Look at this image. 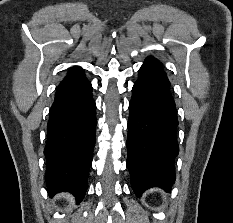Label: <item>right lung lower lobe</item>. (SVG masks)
<instances>
[{"label":"right lung lower lobe","instance_id":"98d812e1","mask_svg":"<svg viewBox=\"0 0 233 223\" xmlns=\"http://www.w3.org/2000/svg\"><path fill=\"white\" fill-rule=\"evenodd\" d=\"M83 69L73 67L57 87L50 109L46 156V183L50 196L69 191L79 203L95 144L96 105Z\"/></svg>","mask_w":233,"mask_h":223}]
</instances>
